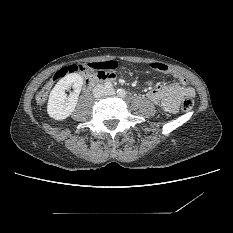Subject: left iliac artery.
Instances as JSON below:
<instances>
[{"label": "left iliac artery", "mask_w": 233, "mask_h": 233, "mask_svg": "<svg viewBox=\"0 0 233 233\" xmlns=\"http://www.w3.org/2000/svg\"><path fill=\"white\" fill-rule=\"evenodd\" d=\"M117 93L120 97L124 98L126 96V92L123 89H118Z\"/></svg>", "instance_id": "left-iliac-artery-1"}]
</instances>
